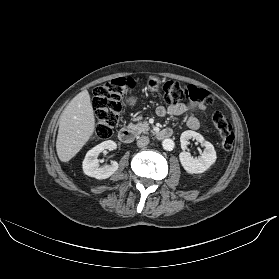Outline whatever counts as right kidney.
Segmentation results:
<instances>
[{
    "label": "right kidney",
    "mask_w": 279,
    "mask_h": 279,
    "mask_svg": "<svg viewBox=\"0 0 279 279\" xmlns=\"http://www.w3.org/2000/svg\"><path fill=\"white\" fill-rule=\"evenodd\" d=\"M116 147L117 144L114 141L108 140L89 150L82 163L84 174L96 179H107L112 174H114V172L119 168V165L116 161H112L110 165L99 167V160L97 158L104 150L112 151L116 149Z\"/></svg>",
    "instance_id": "right-kidney-1"
}]
</instances>
